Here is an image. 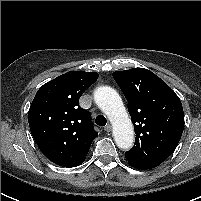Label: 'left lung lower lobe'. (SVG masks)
Returning a JSON list of instances; mask_svg holds the SVG:
<instances>
[{
	"instance_id": "left-lung-lower-lobe-1",
	"label": "left lung lower lobe",
	"mask_w": 201,
	"mask_h": 201,
	"mask_svg": "<svg viewBox=\"0 0 201 201\" xmlns=\"http://www.w3.org/2000/svg\"><path fill=\"white\" fill-rule=\"evenodd\" d=\"M128 163L130 166L138 168V169H142V170L151 169L159 165V164H139V163L131 162L129 160H128Z\"/></svg>"
}]
</instances>
